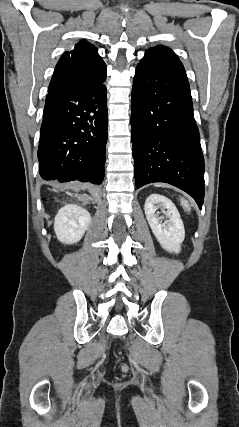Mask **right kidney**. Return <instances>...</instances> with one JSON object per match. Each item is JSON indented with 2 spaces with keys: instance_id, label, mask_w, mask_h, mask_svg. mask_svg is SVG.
<instances>
[{
  "instance_id": "obj_1",
  "label": "right kidney",
  "mask_w": 239,
  "mask_h": 427,
  "mask_svg": "<svg viewBox=\"0 0 239 427\" xmlns=\"http://www.w3.org/2000/svg\"><path fill=\"white\" fill-rule=\"evenodd\" d=\"M91 223L90 213L75 204L62 207L54 221V230L58 240L65 244L78 242Z\"/></svg>"
}]
</instances>
